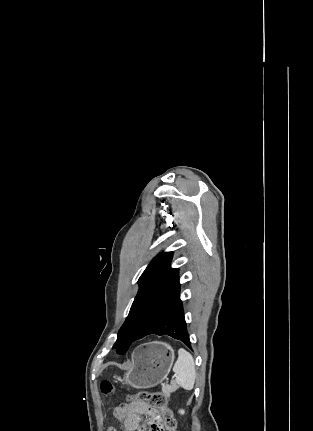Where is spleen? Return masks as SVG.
Masks as SVG:
<instances>
[{
	"label": "spleen",
	"mask_w": 313,
	"mask_h": 431,
	"mask_svg": "<svg viewBox=\"0 0 313 431\" xmlns=\"http://www.w3.org/2000/svg\"><path fill=\"white\" fill-rule=\"evenodd\" d=\"M173 371L176 374L175 382L185 390H192L196 379V370L192 355L184 348L178 350V359Z\"/></svg>",
	"instance_id": "spleen-1"
}]
</instances>
